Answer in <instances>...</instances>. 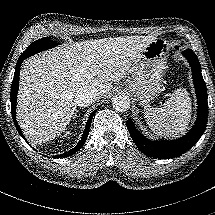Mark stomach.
<instances>
[{
  "label": "stomach",
  "instance_id": "0dacf381",
  "mask_svg": "<svg viewBox=\"0 0 215 215\" xmlns=\"http://www.w3.org/2000/svg\"><path fill=\"white\" fill-rule=\"evenodd\" d=\"M167 49L168 43L164 39L152 42L135 62L130 80L118 91H127L140 104L150 103L162 91L161 79L166 69Z\"/></svg>",
  "mask_w": 215,
  "mask_h": 215
}]
</instances>
